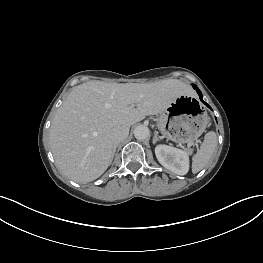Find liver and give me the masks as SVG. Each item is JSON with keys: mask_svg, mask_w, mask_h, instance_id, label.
<instances>
[{"mask_svg": "<svg viewBox=\"0 0 263 263\" xmlns=\"http://www.w3.org/2000/svg\"><path fill=\"white\" fill-rule=\"evenodd\" d=\"M185 83L166 79L153 83L89 81L76 86L57 110L50 145L60 170L87 183L110 166L116 144L113 129L164 111L177 97L190 95Z\"/></svg>", "mask_w": 263, "mask_h": 263, "instance_id": "6515ba94", "label": "liver"}]
</instances>
